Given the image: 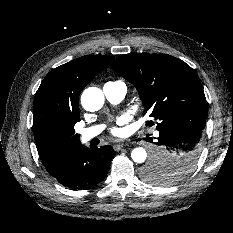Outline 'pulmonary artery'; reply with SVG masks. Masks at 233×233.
Returning <instances> with one entry per match:
<instances>
[{
    "label": "pulmonary artery",
    "mask_w": 233,
    "mask_h": 233,
    "mask_svg": "<svg viewBox=\"0 0 233 233\" xmlns=\"http://www.w3.org/2000/svg\"><path fill=\"white\" fill-rule=\"evenodd\" d=\"M103 93L111 103L116 104L124 99L126 95V86L123 83H119V84L106 83L103 87ZM102 129L103 126L97 125L81 130L80 137L82 142H87L92 138L96 137L101 133Z\"/></svg>",
    "instance_id": "pulmonary-artery-1"
}]
</instances>
